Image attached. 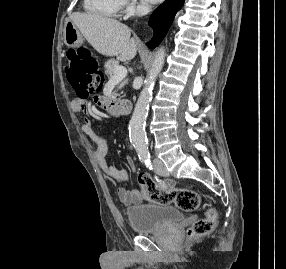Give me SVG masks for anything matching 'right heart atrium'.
<instances>
[{"mask_svg": "<svg viewBox=\"0 0 286 269\" xmlns=\"http://www.w3.org/2000/svg\"><path fill=\"white\" fill-rule=\"evenodd\" d=\"M125 6L130 13H141L146 11L143 4L138 3L136 0H125Z\"/></svg>", "mask_w": 286, "mask_h": 269, "instance_id": "obj_1", "label": "right heart atrium"}]
</instances>
